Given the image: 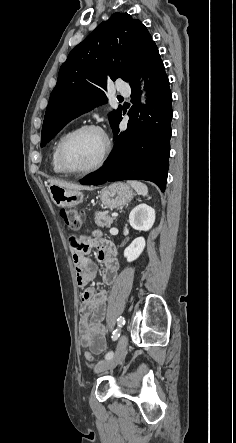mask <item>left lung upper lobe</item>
Returning a JSON list of instances; mask_svg holds the SVG:
<instances>
[{"label": "left lung upper lobe", "instance_id": "obj_1", "mask_svg": "<svg viewBox=\"0 0 236 443\" xmlns=\"http://www.w3.org/2000/svg\"><path fill=\"white\" fill-rule=\"evenodd\" d=\"M156 46L147 28L127 13H115L77 45L62 64L42 127L41 146L69 121L107 101L108 79H136ZM121 110L109 116L115 125Z\"/></svg>", "mask_w": 236, "mask_h": 443}]
</instances>
